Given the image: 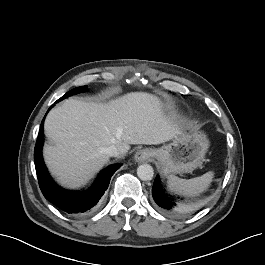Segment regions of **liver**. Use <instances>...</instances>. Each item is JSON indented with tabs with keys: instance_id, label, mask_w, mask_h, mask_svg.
<instances>
[{
	"instance_id": "obj_1",
	"label": "liver",
	"mask_w": 265,
	"mask_h": 265,
	"mask_svg": "<svg viewBox=\"0 0 265 265\" xmlns=\"http://www.w3.org/2000/svg\"><path fill=\"white\" fill-rule=\"evenodd\" d=\"M160 99L132 92L108 103L75 99L52 109L44 130L53 145L43 149L45 163L61 185H84L109 160L114 145L124 155L130 144L157 145L173 139L180 126L164 114Z\"/></svg>"
}]
</instances>
